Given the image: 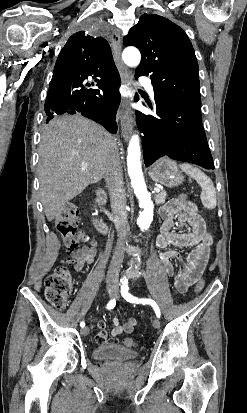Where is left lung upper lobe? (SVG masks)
Masks as SVG:
<instances>
[{
	"label": "left lung upper lobe",
	"instance_id": "left-lung-upper-lobe-1",
	"mask_svg": "<svg viewBox=\"0 0 247 413\" xmlns=\"http://www.w3.org/2000/svg\"><path fill=\"white\" fill-rule=\"evenodd\" d=\"M142 55L135 74H151L155 98H173L201 108L198 63L184 30L167 18L143 14L124 37Z\"/></svg>",
	"mask_w": 247,
	"mask_h": 413
}]
</instances>
